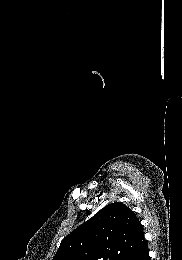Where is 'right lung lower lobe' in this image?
<instances>
[{
    "label": "right lung lower lobe",
    "mask_w": 182,
    "mask_h": 260,
    "mask_svg": "<svg viewBox=\"0 0 182 260\" xmlns=\"http://www.w3.org/2000/svg\"><path fill=\"white\" fill-rule=\"evenodd\" d=\"M125 260H150L147 242L126 257Z\"/></svg>",
    "instance_id": "right-lung-lower-lobe-1"
}]
</instances>
